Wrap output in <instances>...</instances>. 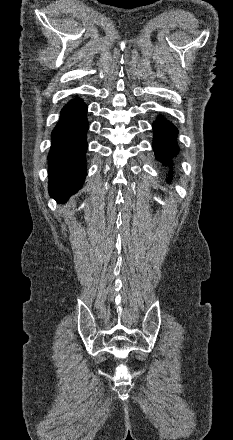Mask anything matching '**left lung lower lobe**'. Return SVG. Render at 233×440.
Instances as JSON below:
<instances>
[{
  "label": "left lung lower lobe",
  "instance_id": "left-lung-lower-lobe-1",
  "mask_svg": "<svg viewBox=\"0 0 233 440\" xmlns=\"http://www.w3.org/2000/svg\"><path fill=\"white\" fill-rule=\"evenodd\" d=\"M153 130L154 142L152 146L156 158L165 165L172 167V158L179 152L177 145V128L162 116H159L153 123Z\"/></svg>",
  "mask_w": 233,
  "mask_h": 440
}]
</instances>
